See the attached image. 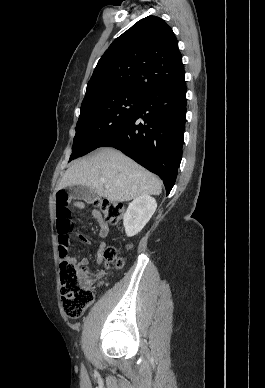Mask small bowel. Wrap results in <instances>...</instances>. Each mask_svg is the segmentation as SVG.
<instances>
[{"mask_svg": "<svg viewBox=\"0 0 265 388\" xmlns=\"http://www.w3.org/2000/svg\"><path fill=\"white\" fill-rule=\"evenodd\" d=\"M72 205L75 206L76 208L78 209H86L87 208V205L81 201H73L72 202ZM91 215L92 217L99 223V236L102 238V239H105L107 236H108V233H109V226L108 224H106L104 221H103V218H102V215L101 213L96 210V209H93L91 211ZM81 241H83L84 243L86 244H91V240L85 236H80L79 237ZM105 243H101L99 248H98V251H97V254H96V264L97 265H100L104 259V251H105ZM71 261L75 264H77L78 266H81V267H85L89 264V260L88 258H82L79 262H76V260L74 259H71Z\"/></svg>", "mask_w": 265, "mask_h": 388, "instance_id": "small-bowel-1", "label": "small bowel"}]
</instances>
